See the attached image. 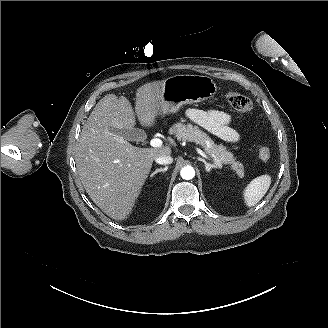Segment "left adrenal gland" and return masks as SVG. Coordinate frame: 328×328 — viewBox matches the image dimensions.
<instances>
[{
	"label": "left adrenal gland",
	"mask_w": 328,
	"mask_h": 328,
	"mask_svg": "<svg viewBox=\"0 0 328 328\" xmlns=\"http://www.w3.org/2000/svg\"><path fill=\"white\" fill-rule=\"evenodd\" d=\"M200 161H202L204 163L207 172H210V170L212 168H216V165L210 164V163L206 162L204 159H201Z\"/></svg>",
	"instance_id": "1"
}]
</instances>
